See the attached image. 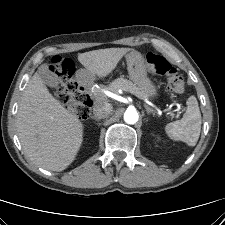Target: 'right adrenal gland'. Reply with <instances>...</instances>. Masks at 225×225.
I'll return each instance as SVG.
<instances>
[{
  "label": "right adrenal gland",
  "instance_id": "right-adrenal-gland-1",
  "mask_svg": "<svg viewBox=\"0 0 225 225\" xmlns=\"http://www.w3.org/2000/svg\"><path fill=\"white\" fill-rule=\"evenodd\" d=\"M91 119H93V120H95V121H97V122L100 121V119H98V118H96V117H94V116H91Z\"/></svg>",
  "mask_w": 225,
  "mask_h": 225
}]
</instances>
